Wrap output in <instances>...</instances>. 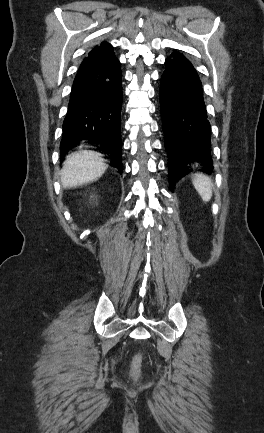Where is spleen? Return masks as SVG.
<instances>
[{
	"mask_svg": "<svg viewBox=\"0 0 264 433\" xmlns=\"http://www.w3.org/2000/svg\"><path fill=\"white\" fill-rule=\"evenodd\" d=\"M193 185L203 201L208 202L211 199L212 182L207 176L197 174L193 179Z\"/></svg>",
	"mask_w": 264,
	"mask_h": 433,
	"instance_id": "spleen-1",
	"label": "spleen"
}]
</instances>
